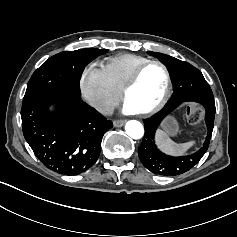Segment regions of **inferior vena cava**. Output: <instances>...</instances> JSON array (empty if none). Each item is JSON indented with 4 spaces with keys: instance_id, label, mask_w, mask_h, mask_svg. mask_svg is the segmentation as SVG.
<instances>
[{
    "instance_id": "obj_1",
    "label": "inferior vena cava",
    "mask_w": 237,
    "mask_h": 237,
    "mask_svg": "<svg viewBox=\"0 0 237 237\" xmlns=\"http://www.w3.org/2000/svg\"><path fill=\"white\" fill-rule=\"evenodd\" d=\"M92 105L97 111L103 114H113L114 107L117 106V104L113 105L106 100H96L92 103Z\"/></svg>"
}]
</instances>
